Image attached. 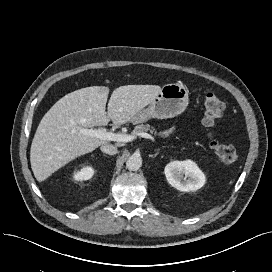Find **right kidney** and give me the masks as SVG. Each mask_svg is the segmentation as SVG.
I'll return each instance as SVG.
<instances>
[{
	"label": "right kidney",
	"mask_w": 272,
	"mask_h": 272,
	"mask_svg": "<svg viewBox=\"0 0 272 272\" xmlns=\"http://www.w3.org/2000/svg\"><path fill=\"white\" fill-rule=\"evenodd\" d=\"M94 169L91 166H84L79 171H76L73 175L74 180L85 181L92 178L94 175Z\"/></svg>",
	"instance_id": "1"
}]
</instances>
